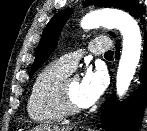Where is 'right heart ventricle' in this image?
I'll return each mask as SVG.
<instances>
[{"mask_svg":"<svg viewBox=\"0 0 147 131\" xmlns=\"http://www.w3.org/2000/svg\"><path fill=\"white\" fill-rule=\"evenodd\" d=\"M69 74L70 71L59 61L49 63L37 74L27 102L28 115L34 122L53 124L64 119L58 89L61 81Z\"/></svg>","mask_w":147,"mask_h":131,"instance_id":"right-heart-ventricle-1","label":"right heart ventricle"}]
</instances>
